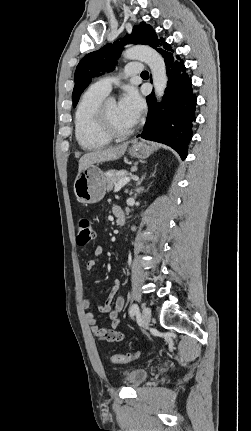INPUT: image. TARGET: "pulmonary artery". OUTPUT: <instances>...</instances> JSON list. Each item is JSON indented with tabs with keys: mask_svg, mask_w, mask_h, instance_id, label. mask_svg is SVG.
Segmentation results:
<instances>
[{
	"mask_svg": "<svg viewBox=\"0 0 251 431\" xmlns=\"http://www.w3.org/2000/svg\"><path fill=\"white\" fill-rule=\"evenodd\" d=\"M144 70V66L140 62H131L126 65L124 70V76L129 77L137 74H141ZM116 78L113 77H105L97 82H95L92 86L96 89L108 94L111 91L112 84L116 81Z\"/></svg>",
	"mask_w": 251,
	"mask_h": 431,
	"instance_id": "obj_1",
	"label": "pulmonary artery"
}]
</instances>
